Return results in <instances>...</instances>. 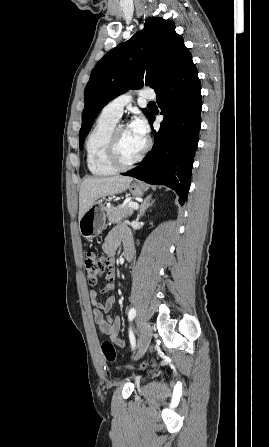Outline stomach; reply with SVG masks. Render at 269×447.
I'll use <instances>...</instances> for the list:
<instances>
[{
	"mask_svg": "<svg viewBox=\"0 0 269 447\" xmlns=\"http://www.w3.org/2000/svg\"><path fill=\"white\" fill-rule=\"evenodd\" d=\"M147 188L148 186L146 184H131L127 190H129L132 196H138L139 198V196H143ZM103 198L101 200H95L87 212H85L84 216H82L81 220H79V229L83 237H88V239L90 237H96L104 229L106 214L104 210L105 206L102 202Z\"/></svg>",
	"mask_w": 269,
	"mask_h": 447,
	"instance_id": "stomach-1",
	"label": "stomach"
}]
</instances>
